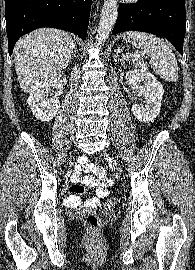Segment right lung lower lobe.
I'll return each mask as SVG.
<instances>
[{"label": "right lung lower lobe", "mask_w": 195, "mask_h": 270, "mask_svg": "<svg viewBox=\"0 0 195 270\" xmlns=\"http://www.w3.org/2000/svg\"><path fill=\"white\" fill-rule=\"evenodd\" d=\"M92 0H5L9 55L30 31L51 27L87 36Z\"/></svg>", "instance_id": "1"}]
</instances>
